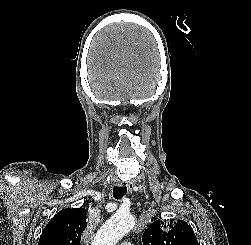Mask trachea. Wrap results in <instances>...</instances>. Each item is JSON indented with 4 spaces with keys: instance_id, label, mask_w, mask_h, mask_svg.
Here are the masks:
<instances>
[{
    "instance_id": "trachea-1",
    "label": "trachea",
    "mask_w": 251,
    "mask_h": 245,
    "mask_svg": "<svg viewBox=\"0 0 251 245\" xmlns=\"http://www.w3.org/2000/svg\"><path fill=\"white\" fill-rule=\"evenodd\" d=\"M127 192V188L126 187H118V186H114L113 188V197L115 199H121Z\"/></svg>"
}]
</instances>
